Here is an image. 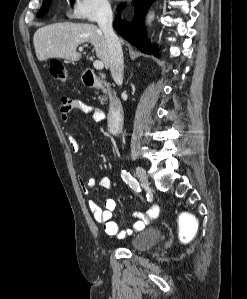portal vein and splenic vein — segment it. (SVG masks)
Segmentation results:
<instances>
[{
	"mask_svg": "<svg viewBox=\"0 0 247 299\" xmlns=\"http://www.w3.org/2000/svg\"><path fill=\"white\" fill-rule=\"evenodd\" d=\"M79 50L82 51V47H79ZM93 66H94V68L97 69V70H102V69L104 68V64H103V62L100 61V60H95V61L93 62Z\"/></svg>",
	"mask_w": 247,
	"mask_h": 299,
	"instance_id": "18ae733b",
	"label": "portal vein and splenic vein"
}]
</instances>
